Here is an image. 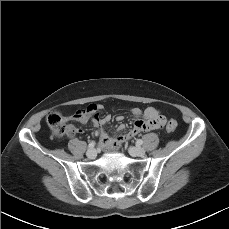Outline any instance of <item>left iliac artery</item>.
<instances>
[{
	"instance_id": "left-iliac-artery-1",
	"label": "left iliac artery",
	"mask_w": 229,
	"mask_h": 229,
	"mask_svg": "<svg viewBox=\"0 0 229 229\" xmlns=\"http://www.w3.org/2000/svg\"><path fill=\"white\" fill-rule=\"evenodd\" d=\"M137 145H142L143 144V141L141 139L137 140L136 142Z\"/></svg>"
}]
</instances>
